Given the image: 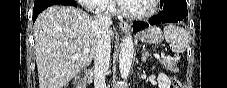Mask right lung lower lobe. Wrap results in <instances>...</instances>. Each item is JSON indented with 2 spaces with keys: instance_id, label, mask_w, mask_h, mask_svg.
I'll list each match as a JSON object with an SVG mask.
<instances>
[{
  "instance_id": "98d812e1",
  "label": "right lung lower lobe",
  "mask_w": 227,
  "mask_h": 88,
  "mask_svg": "<svg viewBox=\"0 0 227 88\" xmlns=\"http://www.w3.org/2000/svg\"><path fill=\"white\" fill-rule=\"evenodd\" d=\"M62 0H41L39 2L34 3V11H33V23L35 22L37 16L47 7L54 4H61Z\"/></svg>"
}]
</instances>
